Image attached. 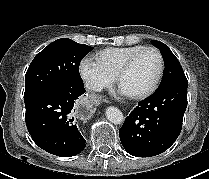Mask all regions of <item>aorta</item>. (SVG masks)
<instances>
[{
  "label": "aorta",
  "instance_id": "762f6f07",
  "mask_svg": "<svg viewBox=\"0 0 209 179\" xmlns=\"http://www.w3.org/2000/svg\"><path fill=\"white\" fill-rule=\"evenodd\" d=\"M106 117L113 124H121L124 121L122 112L113 106H110L106 109Z\"/></svg>",
  "mask_w": 209,
  "mask_h": 179
}]
</instances>
